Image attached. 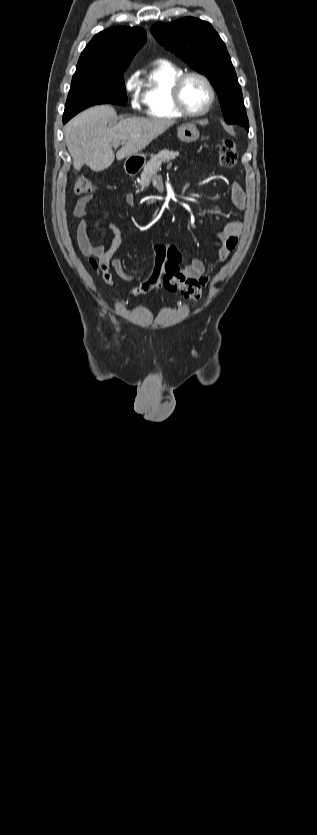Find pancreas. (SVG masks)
<instances>
[{
    "label": "pancreas",
    "instance_id": "cf45deb5",
    "mask_svg": "<svg viewBox=\"0 0 317 835\" xmlns=\"http://www.w3.org/2000/svg\"><path fill=\"white\" fill-rule=\"evenodd\" d=\"M178 156L179 152L169 150H162L158 154L152 156L151 159L144 166L143 171L141 173V190H144V188L149 186L151 178L157 174V171L160 169L162 163H168Z\"/></svg>",
    "mask_w": 317,
    "mask_h": 835
}]
</instances>
